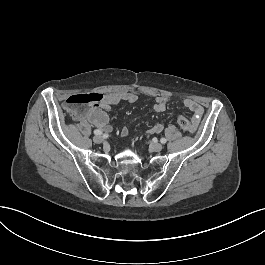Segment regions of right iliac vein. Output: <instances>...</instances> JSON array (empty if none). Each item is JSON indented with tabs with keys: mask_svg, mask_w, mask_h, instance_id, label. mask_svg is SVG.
I'll list each match as a JSON object with an SVG mask.
<instances>
[{
	"mask_svg": "<svg viewBox=\"0 0 265 265\" xmlns=\"http://www.w3.org/2000/svg\"><path fill=\"white\" fill-rule=\"evenodd\" d=\"M103 140H104V138H103V136H101V135H95V136L93 137V141H94L95 143H101Z\"/></svg>",
	"mask_w": 265,
	"mask_h": 265,
	"instance_id": "obj_1",
	"label": "right iliac vein"
}]
</instances>
